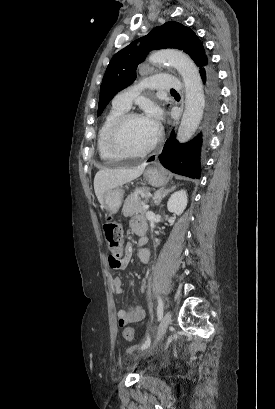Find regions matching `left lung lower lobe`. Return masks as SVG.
I'll list each match as a JSON object with an SVG mask.
<instances>
[{
	"label": "left lung lower lobe",
	"mask_w": 275,
	"mask_h": 409,
	"mask_svg": "<svg viewBox=\"0 0 275 409\" xmlns=\"http://www.w3.org/2000/svg\"><path fill=\"white\" fill-rule=\"evenodd\" d=\"M201 77L206 83L207 89V113L205 120V133L209 136L214 130L219 113L220 91L217 82V75L208 63L200 70ZM202 137L201 134L188 143H178L175 139L174 131L167 140L162 153L159 155L160 163L173 173L184 175L190 178H200V153ZM154 156L148 161H153Z\"/></svg>",
	"instance_id": "0a47b994"
}]
</instances>
